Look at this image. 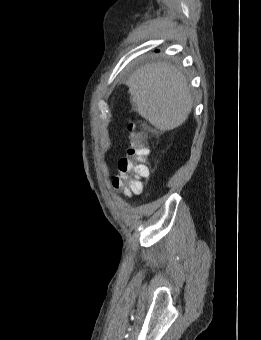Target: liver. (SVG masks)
Segmentation results:
<instances>
[{
	"label": "liver",
	"instance_id": "obj_1",
	"mask_svg": "<svg viewBox=\"0 0 261 340\" xmlns=\"http://www.w3.org/2000/svg\"><path fill=\"white\" fill-rule=\"evenodd\" d=\"M139 115L161 132L182 125L193 100L182 71L165 62L147 63L126 80Z\"/></svg>",
	"mask_w": 261,
	"mask_h": 340
}]
</instances>
